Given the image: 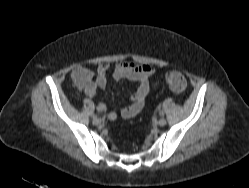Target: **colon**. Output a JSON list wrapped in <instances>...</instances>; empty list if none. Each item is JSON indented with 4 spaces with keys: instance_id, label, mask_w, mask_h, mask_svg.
I'll use <instances>...</instances> for the list:
<instances>
[{
    "instance_id": "colon-1",
    "label": "colon",
    "mask_w": 249,
    "mask_h": 188,
    "mask_svg": "<svg viewBox=\"0 0 249 188\" xmlns=\"http://www.w3.org/2000/svg\"><path fill=\"white\" fill-rule=\"evenodd\" d=\"M77 79H81V75H77ZM166 83L170 87L171 90L177 93H181L186 88V79L184 75L177 71H169L166 74Z\"/></svg>"
}]
</instances>
